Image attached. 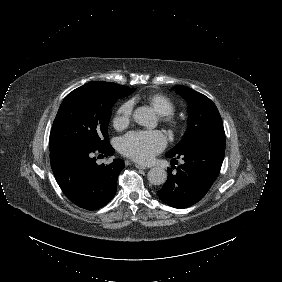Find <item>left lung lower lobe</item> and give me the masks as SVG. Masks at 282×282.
<instances>
[{"instance_id":"left-lung-lower-lobe-1","label":"left lung lower lobe","mask_w":282,"mask_h":282,"mask_svg":"<svg viewBox=\"0 0 282 282\" xmlns=\"http://www.w3.org/2000/svg\"><path fill=\"white\" fill-rule=\"evenodd\" d=\"M225 153V137L197 141L181 152L166 157H183L177 173L168 170V179L158 197L174 208H187L201 200L216 180ZM176 159H172L173 161Z\"/></svg>"}]
</instances>
